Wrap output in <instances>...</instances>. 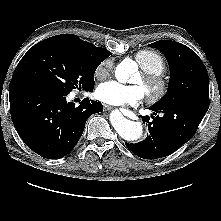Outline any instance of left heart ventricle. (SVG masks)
<instances>
[{"label":"left heart ventricle","instance_id":"obj_1","mask_svg":"<svg viewBox=\"0 0 221 221\" xmlns=\"http://www.w3.org/2000/svg\"><path fill=\"white\" fill-rule=\"evenodd\" d=\"M133 83L141 85L142 86V77L141 74L136 75L133 79ZM143 87V86H142Z\"/></svg>","mask_w":221,"mask_h":221}]
</instances>
